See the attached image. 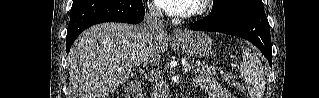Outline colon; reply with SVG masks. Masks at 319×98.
<instances>
[{"mask_svg":"<svg viewBox=\"0 0 319 98\" xmlns=\"http://www.w3.org/2000/svg\"><path fill=\"white\" fill-rule=\"evenodd\" d=\"M222 76L229 84L237 87L241 91L243 90V86L235 79V77L230 72L225 71L222 73Z\"/></svg>","mask_w":319,"mask_h":98,"instance_id":"5ec220e1","label":"colon"}]
</instances>
